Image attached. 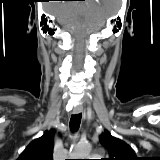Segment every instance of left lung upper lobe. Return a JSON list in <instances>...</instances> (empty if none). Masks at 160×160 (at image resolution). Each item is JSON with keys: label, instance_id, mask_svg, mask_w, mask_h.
Segmentation results:
<instances>
[{"label": "left lung upper lobe", "instance_id": "obj_1", "mask_svg": "<svg viewBox=\"0 0 160 160\" xmlns=\"http://www.w3.org/2000/svg\"><path fill=\"white\" fill-rule=\"evenodd\" d=\"M99 141L109 154V158L103 160H140L131 146L113 137L108 131L100 135Z\"/></svg>", "mask_w": 160, "mask_h": 160}]
</instances>
